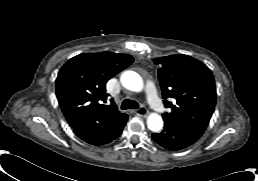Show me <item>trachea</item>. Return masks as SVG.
I'll return each instance as SVG.
<instances>
[{
  "label": "trachea",
  "instance_id": "3493384b",
  "mask_svg": "<svg viewBox=\"0 0 258 181\" xmlns=\"http://www.w3.org/2000/svg\"><path fill=\"white\" fill-rule=\"evenodd\" d=\"M130 108L131 109H138L139 104L134 100L125 99L122 102L121 109L125 110V109H130Z\"/></svg>",
  "mask_w": 258,
  "mask_h": 181
}]
</instances>
